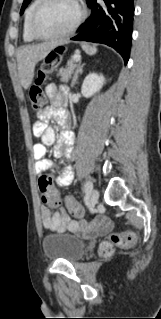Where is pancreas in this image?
I'll use <instances>...</instances> for the list:
<instances>
[{"instance_id":"pancreas-1","label":"pancreas","mask_w":161,"mask_h":319,"mask_svg":"<svg viewBox=\"0 0 161 319\" xmlns=\"http://www.w3.org/2000/svg\"><path fill=\"white\" fill-rule=\"evenodd\" d=\"M76 68H77V64H76L74 58H72L67 63L65 68L60 69L59 74H58L60 76V81L67 83L71 79L72 74L74 73V70Z\"/></svg>"}]
</instances>
